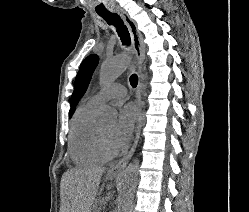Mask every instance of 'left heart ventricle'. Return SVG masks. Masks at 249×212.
Listing matches in <instances>:
<instances>
[{
	"instance_id": "left-heart-ventricle-1",
	"label": "left heart ventricle",
	"mask_w": 249,
	"mask_h": 212,
	"mask_svg": "<svg viewBox=\"0 0 249 212\" xmlns=\"http://www.w3.org/2000/svg\"><path fill=\"white\" fill-rule=\"evenodd\" d=\"M112 128H113V124H106V125L100 126L102 136H103L105 142L107 143V145L111 149H112V147L110 145V135L112 132Z\"/></svg>"
}]
</instances>
